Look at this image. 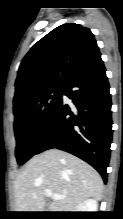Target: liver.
<instances>
[{
	"mask_svg": "<svg viewBox=\"0 0 123 219\" xmlns=\"http://www.w3.org/2000/svg\"><path fill=\"white\" fill-rule=\"evenodd\" d=\"M47 189L66 198L47 202ZM88 198H103L100 174L80 158L57 149L31 158L14 181L16 212H73Z\"/></svg>",
	"mask_w": 123,
	"mask_h": 219,
	"instance_id": "1",
	"label": "liver"
}]
</instances>
